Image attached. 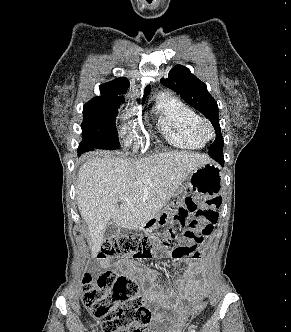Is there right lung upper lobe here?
I'll return each instance as SVG.
<instances>
[{
    "label": "right lung upper lobe",
    "mask_w": 291,
    "mask_h": 332,
    "mask_svg": "<svg viewBox=\"0 0 291 332\" xmlns=\"http://www.w3.org/2000/svg\"><path fill=\"white\" fill-rule=\"evenodd\" d=\"M129 87V81L125 77L117 78L111 82L100 85V97H95L92 100H123L122 97H117L118 94H123ZM149 87L145 90V96L148 94Z\"/></svg>",
    "instance_id": "obj_1"
}]
</instances>
